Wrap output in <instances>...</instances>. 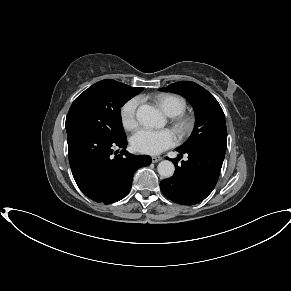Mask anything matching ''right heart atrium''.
Returning <instances> with one entry per match:
<instances>
[{
	"instance_id": "d8ad5b80",
	"label": "right heart atrium",
	"mask_w": 291,
	"mask_h": 291,
	"mask_svg": "<svg viewBox=\"0 0 291 291\" xmlns=\"http://www.w3.org/2000/svg\"><path fill=\"white\" fill-rule=\"evenodd\" d=\"M139 99L137 97L126 101L120 109V120L126 130H133L137 126V109Z\"/></svg>"
}]
</instances>
